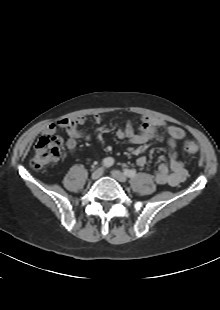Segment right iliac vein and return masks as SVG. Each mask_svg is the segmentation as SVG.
<instances>
[{
    "label": "right iliac vein",
    "instance_id": "63e3f726",
    "mask_svg": "<svg viewBox=\"0 0 220 310\" xmlns=\"http://www.w3.org/2000/svg\"><path fill=\"white\" fill-rule=\"evenodd\" d=\"M102 174H103V169H102V168H98V169H96V170L92 173L91 178H92L93 180H96V179L100 178V177L102 176Z\"/></svg>",
    "mask_w": 220,
    "mask_h": 310
}]
</instances>
